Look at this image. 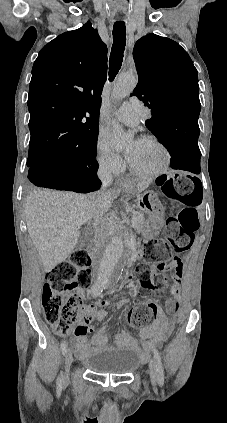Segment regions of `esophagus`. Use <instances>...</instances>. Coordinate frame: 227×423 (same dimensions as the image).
I'll use <instances>...</instances> for the list:
<instances>
[{
    "label": "esophagus",
    "mask_w": 227,
    "mask_h": 423,
    "mask_svg": "<svg viewBox=\"0 0 227 423\" xmlns=\"http://www.w3.org/2000/svg\"><path fill=\"white\" fill-rule=\"evenodd\" d=\"M126 180L124 178H117L116 179V184H122L123 182H125Z\"/></svg>",
    "instance_id": "1"
}]
</instances>
